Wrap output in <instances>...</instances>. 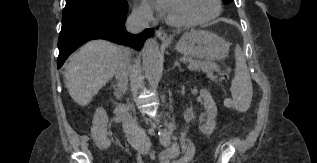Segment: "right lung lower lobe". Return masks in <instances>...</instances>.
I'll return each instance as SVG.
<instances>
[{"label":"right lung lower lobe","instance_id":"1","mask_svg":"<svg viewBox=\"0 0 317 163\" xmlns=\"http://www.w3.org/2000/svg\"><path fill=\"white\" fill-rule=\"evenodd\" d=\"M127 8L117 11H101L85 18L62 24L58 48L57 68H61L68 56L83 43L92 39H106L141 49L145 39L154 31L146 29L132 35L125 29Z\"/></svg>","mask_w":317,"mask_h":163}]
</instances>
